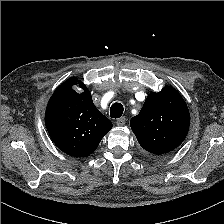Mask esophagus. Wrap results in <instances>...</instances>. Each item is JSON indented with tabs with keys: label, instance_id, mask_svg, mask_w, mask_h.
Instances as JSON below:
<instances>
[{
	"label": "esophagus",
	"instance_id": "obj_1",
	"mask_svg": "<svg viewBox=\"0 0 224 224\" xmlns=\"http://www.w3.org/2000/svg\"><path fill=\"white\" fill-rule=\"evenodd\" d=\"M125 123H126V118H125V117H120V118L116 121V124H117L118 126H123V125H125Z\"/></svg>",
	"mask_w": 224,
	"mask_h": 224
}]
</instances>
